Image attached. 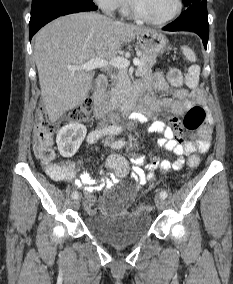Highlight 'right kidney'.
I'll list each match as a JSON object with an SVG mask.
<instances>
[{"instance_id":"obj_1","label":"right kidney","mask_w":233,"mask_h":284,"mask_svg":"<svg viewBox=\"0 0 233 284\" xmlns=\"http://www.w3.org/2000/svg\"><path fill=\"white\" fill-rule=\"evenodd\" d=\"M86 133V127L79 123H70L62 127L56 137L61 156L72 157L78 151Z\"/></svg>"}]
</instances>
